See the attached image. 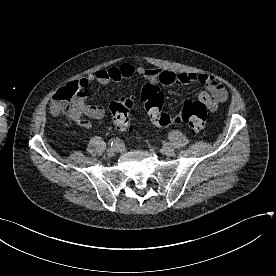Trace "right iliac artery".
Returning a JSON list of instances; mask_svg holds the SVG:
<instances>
[{
    "mask_svg": "<svg viewBox=\"0 0 276 276\" xmlns=\"http://www.w3.org/2000/svg\"><path fill=\"white\" fill-rule=\"evenodd\" d=\"M111 147H123V143L119 139H115L111 142Z\"/></svg>",
    "mask_w": 276,
    "mask_h": 276,
    "instance_id": "right-iliac-artery-1",
    "label": "right iliac artery"
}]
</instances>
